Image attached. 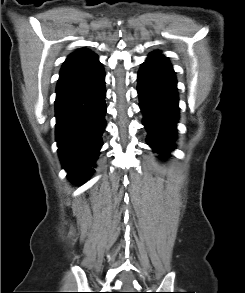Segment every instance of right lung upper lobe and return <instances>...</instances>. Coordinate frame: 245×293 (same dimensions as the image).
Instances as JSON below:
<instances>
[{
    "label": "right lung upper lobe",
    "instance_id": "obj_1",
    "mask_svg": "<svg viewBox=\"0 0 245 293\" xmlns=\"http://www.w3.org/2000/svg\"><path fill=\"white\" fill-rule=\"evenodd\" d=\"M100 66L98 56L93 52L86 49L73 52L62 66L57 89L93 73Z\"/></svg>",
    "mask_w": 245,
    "mask_h": 293
}]
</instances>
